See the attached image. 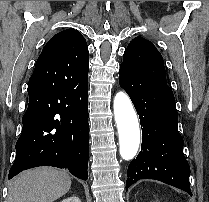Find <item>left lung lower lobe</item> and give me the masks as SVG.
<instances>
[{
    "instance_id": "left-lung-lower-lobe-1",
    "label": "left lung lower lobe",
    "mask_w": 209,
    "mask_h": 202,
    "mask_svg": "<svg viewBox=\"0 0 209 202\" xmlns=\"http://www.w3.org/2000/svg\"><path fill=\"white\" fill-rule=\"evenodd\" d=\"M119 72L120 86L130 96L143 127L141 151L128 166L126 190L140 179H155L192 195L171 88L130 69L120 67Z\"/></svg>"
}]
</instances>
